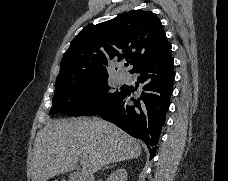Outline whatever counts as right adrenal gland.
Listing matches in <instances>:
<instances>
[{
	"instance_id": "1",
	"label": "right adrenal gland",
	"mask_w": 228,
	"mask_h": 181,
	"mask_svg": "<svg viewBox=\"0 0 228 181\" xmlns=\"http://www.w3.org/2000/svg\"><path fill=\"white\" fill-rule=\"evenodd\" d=\"M121 163H124V161H121ZM121 163H114V165H111V167H105V169H113V167H116V165H121ZM105 169H103V171H105Z\"/></svg>"
}]
</instances>
